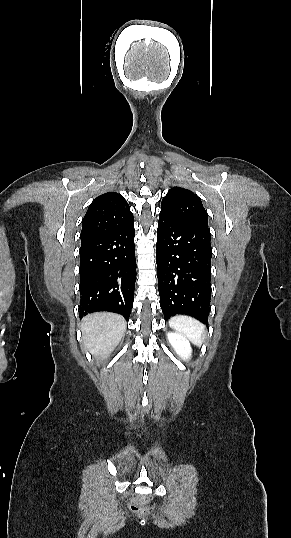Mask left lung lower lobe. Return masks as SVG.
I'll return each mask as SVG.
<instances>
[{"label":"left lung lower lobe","instance_id":"1","mask_svg":"<svg viewBox=\"0 0 291 538\" xmlns=\"http://www.w3.org/2000/svg\"><path fill=\"white\" fill-rule=\"evenodd\" d=\"M210 239L208 227L160 212L156 262L160 306L165 320L186 314L208 324L212 292Z\"/></svg>","mask_w":291,"mask_h":538}]
</instances>
